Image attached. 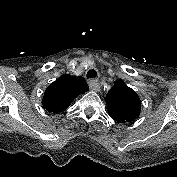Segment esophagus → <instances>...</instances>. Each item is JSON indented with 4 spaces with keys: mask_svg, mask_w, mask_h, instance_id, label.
<instances>
[{
    "mask_svg": "<svg viewBox=\"0 0 177 177\" xmlns=\"http://www.w3.org/2000/svg\"><path fill=\"white\" fill-rule=\"evenodd\" d=\"M88 85H89V88L92 90V91H95V92H99L100 91V84L97 80L95 79H90L88 81Z\"/></svg>",
    "mask_w": 177,
    "mask_h": 177,
    "instance_id": "esophagus-1",
    "label": "esophagus"
}]
</instances>
